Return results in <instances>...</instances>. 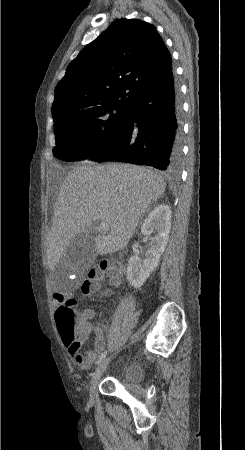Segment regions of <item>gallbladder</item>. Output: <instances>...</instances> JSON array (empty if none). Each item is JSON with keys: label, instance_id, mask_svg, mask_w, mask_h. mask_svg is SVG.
Listing matches in <instances>:
<instances>
[{"label": "gallbladder", "instance_id": "1", "mask_svg": "<svg viewBox=\"0 0 245 450\" xmlns=\"http://www.w3.org/2000/svg\"><path fill=\"white\" fill-rule=\"evenodd\" d=\"M95 244L91 235H79L75 237L70 246L65 251L63 257L57 264L55 275L61 271L76 273L82 276L83 273L93 264L95 260Z\"/></svg>", "mask_w": 245, "mask_h": 450}]
</instances>
